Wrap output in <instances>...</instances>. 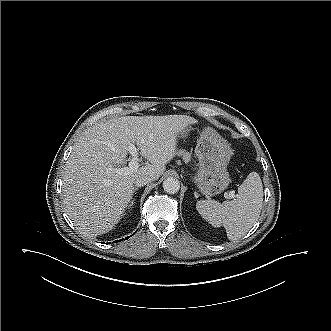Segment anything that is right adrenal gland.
I'll return each instance as SVG.
<instances>
[{
	"instance_id": "obj_1",
	"label": "right adrenal gland",
	"mask_w": 331,
	"mask_h": 331,
	"mask_svg": "<svg viewBox=\"0 0 331 331\" xmlns=\"http://www.w3.org/2000/svg\"><path fill=\"white\" fill-rule=\"evenodd\" d=\"M138 190V188H135L132 192V196H131V201H130V204H129V207L133 206L134 204V201H135V198H133L134 196V193Z\"/></svg>"
}]
</instances>
